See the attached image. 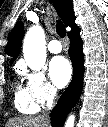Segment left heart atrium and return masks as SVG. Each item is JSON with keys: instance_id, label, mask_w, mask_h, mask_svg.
Wrapping results in <instances>:
<instances>
[{"instance_id": "1", "label": "left heart atrium", "mask_w": 108, "mask_h": 127, "mask_svg": "<svg viewBox=\"0 0 108 127\" xmlns=\"http://www.w3.org/2000/svg\"><path fill=\"white\" fill-rule=\"evenodd\" d=\"M49 75L53 84L63 88L68 84L72 76V67L64 57H55L49 65Z\"/></svg>"}]
</instances>
